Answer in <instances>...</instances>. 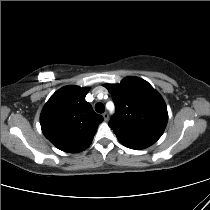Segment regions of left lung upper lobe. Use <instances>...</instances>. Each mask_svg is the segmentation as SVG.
<instances>
[{
	"label": "left lung upper lobe",
	"instance_id": "obj_1",
	"mask_svg": "<svg viewBox=\"0 0 210 210\" xmlns=\"http://www.w3.org/2000/svg\"><path fill=\"white\" fill-rule=\"evenodd\" d=\"M116 105L109 126L120 143L131 149H144L163 134L168 121L161 95L145 80L127 77L120 84H106Z\"/></svg>",
	"mask_w": 210,
	"mask_h": 210
}]
</instances>
